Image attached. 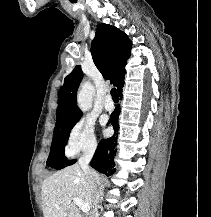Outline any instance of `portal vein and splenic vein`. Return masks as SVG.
<instances>
[{
    "label": "portal vein and splenic vein",
    "mask_w": 211,
    "mask_h": 217,
    "mask_svg": "<svg viewBox=\"0 0 211 217\" xmlns=\"http://www.w3.org/2000/svg\"><path fill=\"white\" fill-rule=\"evenodd\" d=\"M73 202L82 210L84 213H88L90 208L89 205L84 203L81 199L79 198H73Z\"/></svg>",
    "instance_id": "18ae733b"
}]
</instances>
